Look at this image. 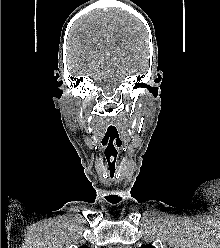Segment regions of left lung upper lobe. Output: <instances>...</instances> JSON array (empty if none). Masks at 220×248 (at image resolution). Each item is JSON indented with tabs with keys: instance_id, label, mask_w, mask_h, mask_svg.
Listing matches in <instances>:
<instances>
[{
	"instance_id": "left-lung-upper-lobe-1",
	"label": "left lung upper lobe",
	"mask_w": 220,
	"mask_h": 248,
	"mask_svg": "<svg viewBox=\"0 0 220 248\" xmlns=\"http://www.w3.org/2000/svg\"><path fill=\"white\" fill-rule=\"evenodd\" d=\"M141 248H154L152 245H144Z\"/></svg>"
}]
</instances>
